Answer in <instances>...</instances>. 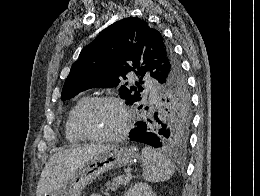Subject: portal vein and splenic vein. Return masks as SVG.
<instances>
[{
    "mask_svg": "<svg viewBox=\"0 0 260 196\" xmlns=\"http://www.w3.org/2000/svg\"><path fill=\"white\" fill-rule=\"evenodd\" d=\"M125 180H132V174H127Z\"/></svg>",
    "mask_w": 260,
    "mask_h": 196,
    "instance_id": "obj_1",
    "label": "portal vein and splenic vein"
}]
</instances>
